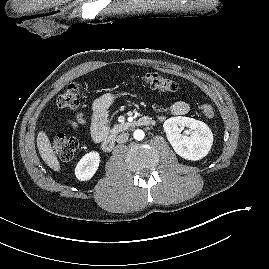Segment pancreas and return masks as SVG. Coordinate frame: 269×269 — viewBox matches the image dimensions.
Returning a JSON list of instances; mask_svg holds the SVG:
<instances>
[{"label":"pancreas","instance_id":"obj_1","mask_svg":"<svg viewBox=\"0 0 269 269\" xmlns=\"http://www.w3.org/2000/svg\"><path fill=\"white\" fill-rule=\"evenodd\" d=\"M129 125H130L129 123H121V124L115 125L113 127V129L111 130V132L113 134L119 133V132L127 129L129 127Z\"/></svg>","mask_w":269,"mask_h":269}]
</instances>
